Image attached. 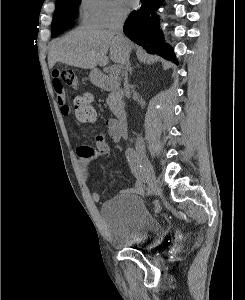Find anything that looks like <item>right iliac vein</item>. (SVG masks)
<instances>
[{
  "label": "right iliac vein",
  "instance_id": "63e3f726",
  "mask_svg": "<svg viewBox=\"0 0 245 300\" xmlns=\"http://www.w3.org/2000/svg\"><path fill=\"white\" fill-rule=\"evenodd\" d=\"M138 159L140 160V162L143 164L145 168L146 177L151 178V182L153 183V186L156 187V191H157V181H156L155 173L148 157L143 151H139Z\"/></svg>",
  "mask_w": 245,
  "mask_h": 300
}]
</instances>
